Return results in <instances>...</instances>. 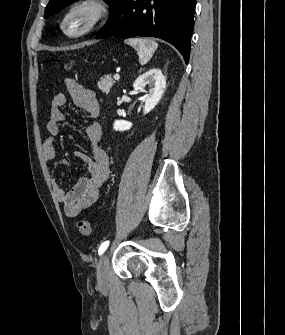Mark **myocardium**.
Here are the masks:
<instances>
[{"label":"myocardium","mask_w":285,"mask_h":335,"mask_svg":"<svg viewBox=\"0 0 285 335\" xmlns=\"http://www.w3.org/2000/svg\"><path fill=\"white\" fill-rule=\"evenodd\" d=\"M84 10L91 11L89 20L83 23L80 27H73L71 33L74 36L81 35L96 28L103 22L110 14V7L107 3L102 1H80L76 3L69 14V18H73L77 13Z\"/></svg>","instance_id":"obj_1"}]
</instances>
